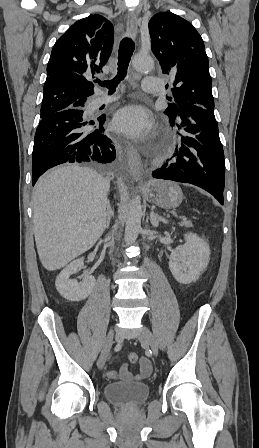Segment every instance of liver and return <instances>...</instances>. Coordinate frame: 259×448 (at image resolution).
<instances>
[{"mask_svg":"<svg viewBox=\"0 0 259 448\" xmlns=\"http://www.w3.org/2000/svg\"><path fill=\"white\" fill-rule=\"evenodd\" d=\"M109 184L91 168L48 170L32 196L34 238L42 266L53 272L90 250L107 222Z\"/></svg>","mask_w":259,"mask_h":448,"instance_id":"liver-1","label":"liver"}]
</instances>
